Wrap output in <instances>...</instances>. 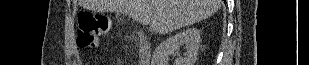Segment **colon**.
Wrapping results in <instances>:
<instances>
[{"instance_id": "5ec220e1", "label": "colon", "mask_w": 309, "mask_h": 65, "mask_svg": "<svg viewBox=\"0 0 309 65\" xmlns=\"http://www.w3.org/2000/svg\"><path fill=\"white\" fill-rule=\"evenodd\" d=\"M77 44L80 48L95 47L101 36L113 26L109 16L81 11L77 16Z\"/></svg>"}]
</instances>
